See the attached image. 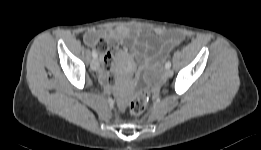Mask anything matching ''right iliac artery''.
Masks as SVG:
<instances>
[{
  "label": "right iliac artery",
  "instance_id": "right-iliac-artery-1",
  "mask_svg": "<svg viewBox=\"0 0 261 150\" xmlns=\"http://www.w3.org/2000/svg\"><path fill=\"white\" fill-rule=\"evenodd\" d=\"M92 56H93L94 58H97L98 54H97V52H96L95 50L92 51Z\"/></svg>",
  "mask_w": 261,
  "mask_h": 150
}]
</instances>
